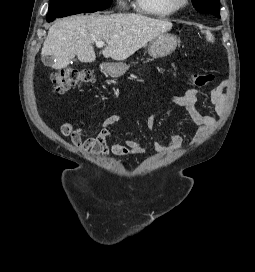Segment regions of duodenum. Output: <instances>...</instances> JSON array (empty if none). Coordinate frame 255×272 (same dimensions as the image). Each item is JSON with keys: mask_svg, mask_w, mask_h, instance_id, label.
<instances>
[{"mask_svg": "<svg viewBox=\"0 0 255 272\" xmlns=\"http://www.w3.org/2000/svg\"><path fill=\"white\" fill-rule=\"evenodd\" d=\"M102 69H103V71H107L108 66H107L106 64H104V65L102 66Z\"/></svg>", "mask_w": 255, "mask_h": 272, "instance_id": "obj_1", "label": "duodenum"}]
</instances>
